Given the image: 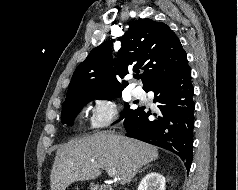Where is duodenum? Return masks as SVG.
Here are the masks:
<instances>
[{
	"mask_svg": "<svg viewBox=\"0 0 238 190\" xmlns=\"http://www.w3.org/2000/svg\"><path fill=\"white\" fill-rule=\"evenodd\" d=\"M100 190H112V188H110V187H108V186H103V187H101Z\"/></svg>",
	"mask_w": 238,
	"mask_h": 190,
	"instance_id": "410a0bca",
	"label": "duodenum"
}]
</instances>
